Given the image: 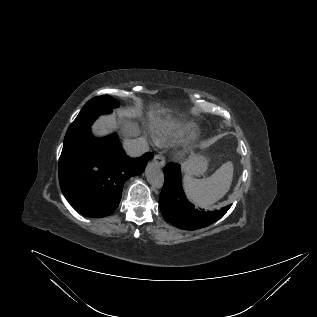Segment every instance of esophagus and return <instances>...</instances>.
I'll return each mask as SVG.
<instances>
[{"label":"esophagus","mask_w":317,"mask_h":317,"mask_svg":"<svg viewBox=\"0 0 317 317\" xmlns=\"http://www.w3.org/2000/svg\"><path fill=\"white\" fill-rule=\"evenodd\" d=\"M153 162L161 168L165 165V159L161 154H156L153 158Z\"/></svg>","instance_id":"esophagus-1"}]
</instances>
